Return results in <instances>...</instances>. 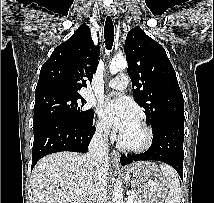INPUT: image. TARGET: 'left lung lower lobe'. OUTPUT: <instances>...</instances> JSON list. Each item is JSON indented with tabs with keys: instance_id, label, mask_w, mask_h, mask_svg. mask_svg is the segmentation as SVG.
I'll list each match as a JSON object with an SVG mask.
<instances>
[{
	"instance_id": "obj_1",
	"label": "left lung lower lobe",
	"mask_w": 214,
	"mask_h": 203,
	"mask_svg": "<svg viewBox=\"0 0 214 203\" xmlns=\"http://www.w3.org/2000/svg\"><path fill=\"white\" fill-rule=\"evenodd\" d=\"M183 141L184 121L170 120L162 123L153 132L151 147L144 153L121 156V164L127 165L133 161L157 160L171 165L183 180Z\"/></svg>"
}]
</instances>
